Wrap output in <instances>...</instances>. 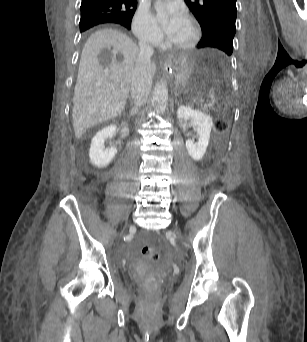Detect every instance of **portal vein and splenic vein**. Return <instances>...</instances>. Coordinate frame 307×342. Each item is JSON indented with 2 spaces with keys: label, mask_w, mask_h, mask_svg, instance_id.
Listing matches in <instances>:
<instances>
[{
  "label": "portal vein and splenic vein",
  "mask_w": 307,
  "mask_h": 342,
  "mask_svg": "<svg viewBox=\"0 0 307 342\" xmlns=\"http://www.w3.org/2000/svg\"><path fill=\"white\" fill-rule=\"evenodd\" d=\"M200 101H198L196 104L198 105V106H201L203 103L201 102V98L199 99Z\"/></svg>",
  "instance_id": "obj_1"
}]
</instances>
